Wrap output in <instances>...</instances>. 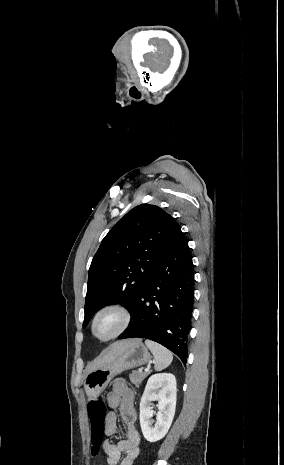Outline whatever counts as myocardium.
I'll return each mask as SVG.
<instances>
[{"mask_svg":"<svg viewBox=\"0 0 284 465\" xmlns=\"http://www.w3.org/2000/svg\"><path fill=\"white\" fill-rule=\"evenodd\" d=\"M107 312L115 313L120 319V325L117 328V330L110 336L97 337L94 334L95 325L97 323L98 318L102 314L107 313ZM131 321H132L131 313L126 307L119 305V304L106 305L100 308L99 310H97L95 314L93 315L91 322H90V334L93 337V339H95L96 341L101 342V343H107L123 335L128 329V327L130 326Z\"/></svg>","mask_w":284,"mask_h":465,"instance_id":"myocardium-1","label":"myocardium"}]
</instances>
